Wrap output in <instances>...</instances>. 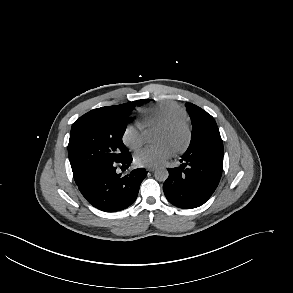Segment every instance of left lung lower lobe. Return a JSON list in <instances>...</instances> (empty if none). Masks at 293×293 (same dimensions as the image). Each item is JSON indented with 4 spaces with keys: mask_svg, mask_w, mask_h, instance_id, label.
I'll use <instances>...</instances> for the list:
<instances>
[{
    "mask_svg": "<svg viewBox=\"0 0 293 293\" xmlns=\"http://www.w3.org/2000/svg\"><path fill=\"white\" fill-rule=\"evenodd\" d=\"M180 167L168 169L163 185L166 198L173 205L192 209L204 204L219 184L223 155L199 149L183 154Z\"/></svg>",
    "mask_w": 293,
    "mask_h": 293,
    "instance_id": "0a47b994",
    "label": "left lung lower lobe"
}]
</instances>
